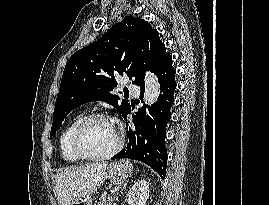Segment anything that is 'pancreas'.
<instances>
[{
	"instance_id": "cf45deb5",
	"label": "pancreas",
	"mask_w": 269,
	"mask_h": 205,
	"mask_svg": "<svg viewBox=\"0 0 269 205\" xmlns=\"http://www.w3.org/2000/svg\"><path fill=\"white\" fill-rule=\"evenodd\" d=\"M97 205H115L113 198H105L102 201L98 202Z\"/></svg>"
}]
</instances>
